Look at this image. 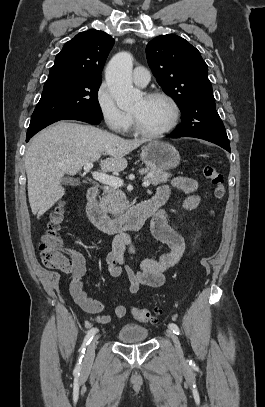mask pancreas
Instances as JSON below:
<instances>
[{"label":"pancreas","instance_id":"1","mask_svg":"<svg viewBox=\"0 0 265 407\" xmlns=\"http://www.w3.org/2000/svg\"><path fill=\"white\" fill-rule=\"evenodd\" d=\"M140 174H149L145 180H149L152 185L157 186L168 182L171 174L162 170L142 168ZM100 205L113 216H119L129 207V202L125 194L117 187L105 186Z\"/></svg>","mask_w":265,"mask_h":407}]
</instances>
